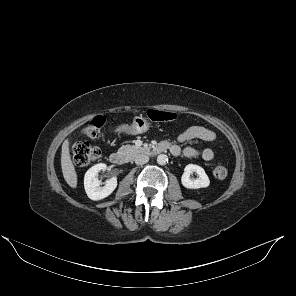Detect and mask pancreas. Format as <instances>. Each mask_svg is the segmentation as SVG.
Returning a JSON list of instances; mask_svg holds the SVG:
<instances>
[{
	"mask_svg": "<svg viewBox=\"0 0 296 296\" xmlns=\"http://www.w3.org/2000/svg\"><path fill=\"white\" fill-rule=\"evenodd\" d=\"M118 151L131 158L136 156L138 153H141L143 148L136 147L135 145H125L122 146Z\"/></svg>",
	"mask_w": 296,
	"mask_h": 296,
	"instance_id": "1",
	"label": "pancreas"
}]
</instances>
